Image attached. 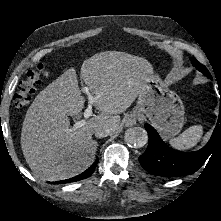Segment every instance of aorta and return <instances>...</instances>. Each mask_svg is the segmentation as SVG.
<instances>
[{
  "label": "aorta",
  "mask_w": 221,
  "mask_h": 221,
  "mask_svg": "<svg viewBox=\"0 0 221 221\" xmlns=\"http://www.w3.org/2000/svg\"><path fill=\"white\" fill-rule=\"evenodd\" d=\"M124 141L131 147H143L148 142L147 131L142 127L129 128L125 131Z\"/></svg>",
  "instance_id": "762f6f07"
}]
</instances>
